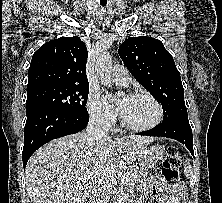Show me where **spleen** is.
Wrapping results in <instances>:
<instances>
[{
    "mask_svg": "<svg viewBox=\"0 0 222 203\" xmlns=\"http://www.w3.org/2000/svg\"><path fill=\"white\" fill-rule=\"evenodd\" d=\"M184 174L187 178H191L193 170L190 164L184 166Z\"/></svg>",
    "mask_w": 222,
    "mask_h": 203,
    "instance_id": "1",
    "label": "spleen"
}]
</instances>
